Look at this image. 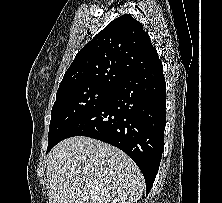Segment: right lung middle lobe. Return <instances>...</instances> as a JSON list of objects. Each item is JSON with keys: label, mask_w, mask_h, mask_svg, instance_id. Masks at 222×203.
Returning a JSON list of instances; mask_svg holds the SVG:
<instances>
[{"label": "right lung middle lobe", "mask_w": 222, "mask_h": 203, "mask_svg": "<svg viewBox=\"0 0 222 203\" xmlns=\"http://www.w3.org/2000/svg\"><path fill=\"white\" fill-rule=\"evenodd\" d=\"M111 89L88 85L58 90L51 111L48 148L68 126L101 104L108 97Z\"/></svg>", "instance_id": "right-lung-middle-lobe-1"}]
</instances>
